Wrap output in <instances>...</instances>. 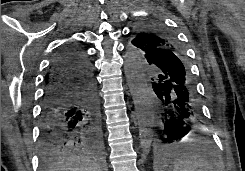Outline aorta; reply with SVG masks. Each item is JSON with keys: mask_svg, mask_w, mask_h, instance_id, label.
I'll return each mask as SVG.
<instances>
[{"mask_svg": "<svg viewBox=\"0 0 245 171\" xmlns=\"http://www.w3.org/2000/svg\"><path fill=\"white\" fill-rule=\"evenodd\" d=\"M124 71L138 114L140 145L143 154L146 155L150 151L153 140L155 97L144 73L139 50L134 48L127 50L124 56Z\"/></svg>", "mask_w": 245, "mask_h": 171, "instance_id": "762f6f07", "label": "aorta"}]
</instances>
